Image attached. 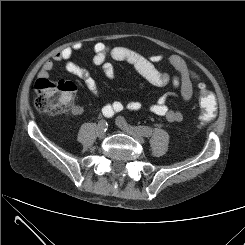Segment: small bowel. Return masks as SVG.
Here are the masks:
<instances>
[{
    "instance_id": "small-bowel-1",
    "label": "small bowel",
    "mask_w": 245,
    "mask_h": 245,
    "mask_svg": "<svg viewBox=\"0 0 245 245\" xmlns=\"http://www.w3.org/2000/svg\"><path fill=\"white\" fill-rule=\"evenodd\" d=\"M81 49L82 46L76 44L55 53L53 55V60L46 61L43 64L38 77L40 79H48L50 77V72L55 68V62H63L64 68L68 73L81 79L84 82L85 87L95 97H99L100 89L95 79L90 75L88 70L78 66L72 61L73 53L80 51ZM93 49L95 52L93 63L102 68L104 76L109 80L115 78L114 65L108 61V58H111L115 61L124 62L130 65L146 81L154 86H164L171 82L176 89V92L172 97L187 103L193 96L197 75L186 65L185 61L177 55L170 56L167 59L169 67L173 70V73H169L160 71L156 68L157 63L164 61L163 56L159 54H153L146 57L134 50L120 46H109L103 42L95 43ZM168 97L169 96L162 97L155 103L150 104L148 110L157 116L164 117L168 122L182 121L184 112L179 109H171L166 102ZM142 108L143 104L140 101L131 100L128 102L113 101L107 103L102 110L111 117L124 109L138 111ZM71 112L74 115H80L83 113V108L79 105H73Z\"/></svg>"
}]
</instances>
